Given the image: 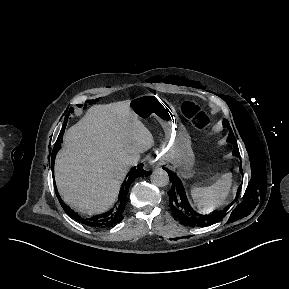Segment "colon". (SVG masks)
I'll return each instance as SVG.
<instances>
[{"label":"colon","mask_w":289,"mask_h":289,"mask_svg":"<svg viewBox=\"0 0 289 289\" xmlns=\"http://www.w3.org/2000/svg\"><path fill=\"white\" fill-rule=\"evenodd\" d=\"M184 111L188 114V116L199 120L201 117L200 108L193 102L187 101L183 105Z\"/></svg>","instance_id":"obj_1"}]
</instances>
